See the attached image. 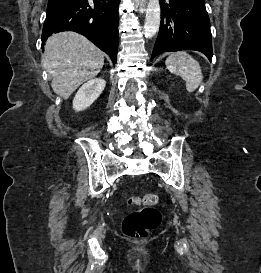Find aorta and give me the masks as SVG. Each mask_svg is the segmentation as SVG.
Returning a JSON list of instances; mask_svg holds the SVG:
<instances>
[{"mask_svg":"<svg viewBox=\"0 0 261 273\" xmlns=\"http://www.w3.org/2000/svg\"><path fill=\"white\" fill-rule=\"evenodd\" d=\"M161 11L159 0H148L144 33L147 38L153 37L159 30Z\"/></svg>","mask_w":261,"mask_h":273,"instance_id":"aorta-1","label":"aorta"}]
</instances>
